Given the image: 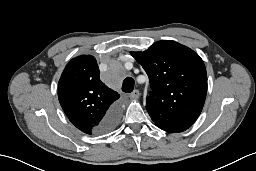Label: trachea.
<instances>
[{
  "mask_svg": "<svg viewBox=\"0 0 256 171\" xmlns=\"http://www.w3.org/2000/svg\"><path fill=\"white\" fill-rule=\"evenodd\" d=\"M134 85H135L134 79L131 78V77H127V78L123 81V84H122V91L125 92V93H130V92L133 91Z\"/></svg>",
  "mask_w": 256,
  "mask_h": 171,
  "instance_id": "obj_1",
  "label": "trachea"
}]
</instances>
